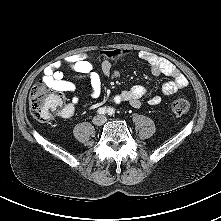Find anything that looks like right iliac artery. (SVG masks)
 I'll return each mask as SVG.
<instances>
[{
  "instance_id": "1",
  "label": "right iliac artery",
  "mask_w": 221,
  "mask_h": 221,
  "mask_svg": "<svg viewBox=\"0 0 221 221\" xmlns=\"http://www.w3.org/2000/svg\"><path fill=\"white\" fill-rule=\"evenodd\" d=\"M107 111L108 110L106 108L102 107V108H99L97 112H98V114L103 115V114H106Z\"/></svg>"
}]
</instances>
